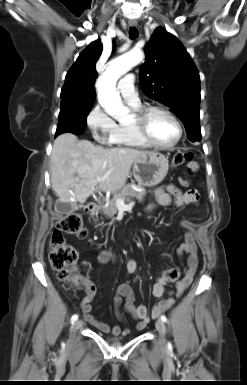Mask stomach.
<instances>
[{"label":"stomach","instance_id":"1","mask_svg":"<svg viewBox=\"0 0 247 385\" xmlns=\"http://www.w3.org/2000/svg\"><path fill=\"white\" fill-rule=\"evenodd\" d=\"M168 168V159L163 154L150 151L133 162L132 173L140 186L154 187L165 178Z\"/></svg>","mask_w":247,"mask_h":385}]
</instances>
